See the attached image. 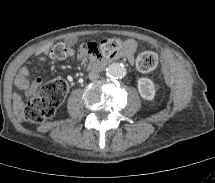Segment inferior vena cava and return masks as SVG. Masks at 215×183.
<instances>
[{
	"label": "inferior vena cava",
	"instance_id": "602c4592",
	"mask_svg": "<svg viewBox=\"0 0 215 183\" xmlns=\"http://www.w3.org/2000/svg\"><path fill=\"white\" fill-rule=\"evenodd\" d=\"M89 79L95 80L99 78V73L97 71H91L88 75Z\"/></svg>",
	"mask_w": 215,
	"mask_h": 183
}]
</instances>
